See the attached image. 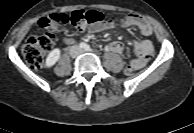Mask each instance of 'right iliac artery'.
Returning <instances> with one entry per match:
<instances>
[{
    "label": "right iliac artery",
    "instance_id": "right-iliac-artery-1",
    "mask_svg": "<svg viewBox=\"0 0 194 133\" xmlns=\"http://www.w3.org/2000/svg\"><path fill=\"white\" fill-rule=\"evenodd\" d=\"M79 47L82 48V49H86L87 44L84 43V42H81V43L79 44Z\"/></svg>",
    "mask_w": 194,
    "mask_h": 133
}]
</instances>
